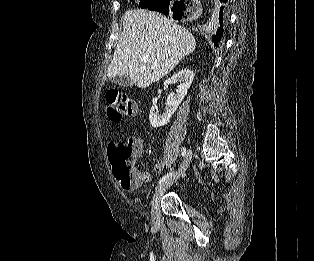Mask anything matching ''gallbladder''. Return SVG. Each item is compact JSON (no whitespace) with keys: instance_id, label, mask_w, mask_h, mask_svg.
<instances>
[{"instance_id":"1","label":"gallbladder","mask_w":314,"mask_h":261,"mask_svg":"<svg viewBox=\"0 0 314 261\" xmlns=\"http://www.w3.org/2000/svg\"><path fill=\"white\" fill-rule=\"evenodd\" d=\"M110 80L115 85L121 87H132L134 85L133 81L128 76L124 75L113 76Z\"/></svg>"}]
</instances>
